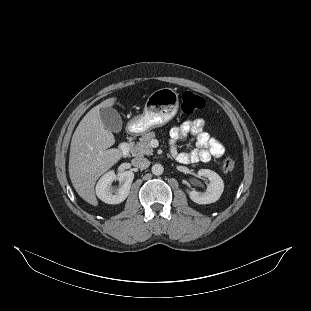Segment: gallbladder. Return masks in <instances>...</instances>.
Wrapping results in <instances>:
<instances>
[{"label": "gallbladder", "instance_id": "bac80fb5", "mask_svg": "<svg viewBox=\"0 0 311 311\" xmlns=\"http://www.w3.org/2000/svg\"><path fill=\"white\" fill-rule=\"evenodd\" d=\"M100 117L108 130L114 133H119L122 130L123 122L117 110L113 108H103L100 111Z\"/></svg>", "mask_w": 311, "mask_h": 311}]
</instances>
